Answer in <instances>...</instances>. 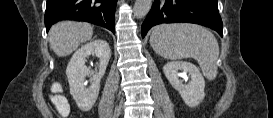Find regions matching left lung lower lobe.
<instances>
[{
	"mask_svg": "<svg viewBox=\"0 0 273 118\" xmlns=\"http://www.w3.org/2000/svg\"><path fill=\"white\" fill-rule=\"evenodd\" d=\"M185 22L214 29L223 36V24L214 0H156L141 27L142 37L148 30L161 23Z\"/></svg>",
	"mask_w": 273,
	"mask_h": 118,
	"instance_id": "0a47b994",
	"label": "left lung lower lobe"
}]
</instances>
